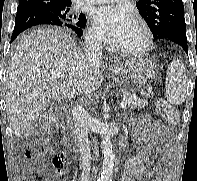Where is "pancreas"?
I'll use <instances>...</instances> for the list:
<instances>
[{"label": "pancreas", "mask_w": 197, "mask_h": 181, "mask_svg": "<svg viewBox=\"0 0 197 181\" xmlns=\"http://www.w3.org/2000/svg\"><path fill=\"white\" fill-rule=\"evenodd\" d=\"M121 101L125 102L128 108H144L148 105V101L137 97L135 94L124 92L121 96Z\"/></svg>", "instance_id": "pancreas-1"}]
</instances>
